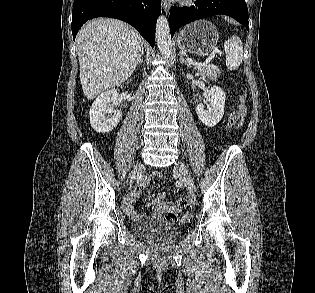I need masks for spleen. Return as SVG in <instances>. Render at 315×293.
I'll list each match as a JSON object with an SVG mask.
<instances>
[{
  "instance_id": "obj_1",
  "label": "spleen",
  "mask_w": 315,
  "mask_h": 293,
  "mask_svg": "<svg viewBox=\"0 0 315 293\" xmlns=\"http://www.w3.org/2000/svg\"><path fill=\"white\" fill-rule=\"evenodd\" d=\"M226 66L229 70H236L242 63L243 45L238 36H232L224 43Z\"/></svg>"
}]
</instances>
